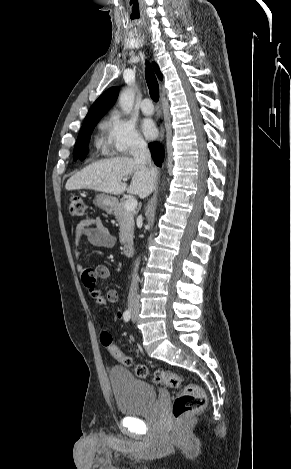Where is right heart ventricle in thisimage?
I'll list each match as a JSON object with an SVG mask.
<instances>
[{"label": "right heart ventricle", "mask_w": 291, "mask_h": 469, "mask_svg": "<svg viewBox=\"0 0 291 469\" xmlns=\"http://www.w3.org/2000/svg\"><path fill=\"white\" fill-rule=\"evenodd\" d=\"M96 146L99 148V147H102L103 148V144H102V140L101 139H97L96 141Z\"/></svg>", "instance_id": "obj_1"}]
</instances>
